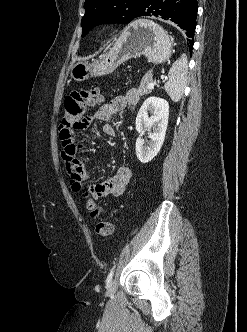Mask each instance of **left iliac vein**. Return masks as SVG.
Returning a JSON list of instances; mask_svg holds the SVG:
<instances>
[{"mask_svg": "<svg viewBox=\"0 0 247 332\" xmlns=\"http://www.w3.org/2000/svg\"><path fill=\"white\" fill-rule=\"evenodd\" d=\"M116 289H117V283L115 280H112L107 286V292L108 294H113L115 293Z\"/></svg>", "mask_w": 247, "mask_h": 332, "instance_id": "4c4485c4", "label": "left iliac vein"}]
</instances>
